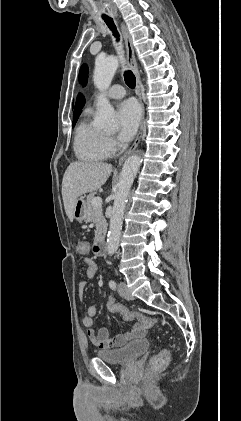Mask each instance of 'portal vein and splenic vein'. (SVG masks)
<instances>
[{
  "instance_id": "18ae733b",
  "label": "portal vein and splenic vein",
  "mask_w": 241,
  "mask_h": 421,
  "mask_svg": "<svg viewBox=\"0 0 241 421\" xmlns=\"http://www.w3.org/2000/svg\"><path fill=\"white\" fill-rule=\"evenodd\" d=\"M92 204L94 207H102V199L100 197H95L92 200Z\"/></svg>"
}]
</instances>
